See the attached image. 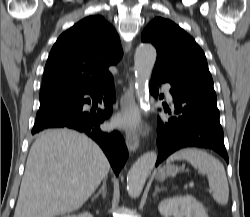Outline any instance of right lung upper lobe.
<instances>
[{
    "label": "right lung upper lobe",
    "instance_id": "1",
    "mask_svg": "<svg viewBox=\"0 0 250 217\" xmlns=\"http://www.w3.org/2000/svg\"><path fill=\"white\" fill-rule=\"evenodd\" d=\"M120 39L102 16H89L65 31L49 54L40 106L89 91L110 78V65L122 57Z\"/></svg>",
    "mask_w": 250,
    "mask_h": 217
}]
</instances>
